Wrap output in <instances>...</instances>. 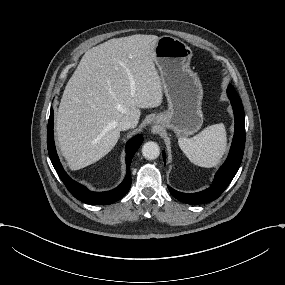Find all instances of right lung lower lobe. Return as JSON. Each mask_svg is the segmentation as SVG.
Wrapping results in <instances>:
<instances>
[{
	"instance_id": "right-lung-lower-lobe-1",
	"label": "right lung lower lobe",
	"mask_w": 285,
	"mask_h": 285,
	"mask_svg": "<svg viewBox=\"0 0 285 285\" xmlns=\"http://www.w3.org/2000/svg\"><path fill=\"white\" fill-rule=\"evenodd\" d=\"M143 142V138L140 135L132 138L126 147V167L127 173L124 181L115 189L107 192H92L85 188L83 185L72 180L64 171L57 153L54 144L53 136V109L51 108L50 117L48 121L47 128V147L48 153L51 159V162L59 175L62 182L65 184L69 192L78 200L85 202L87 204L93 205H107L116 202L121 199L130 189L131 186V173H130V164L135 152L138 150L140 145Z\"/></svg>"
}]
</instances>
